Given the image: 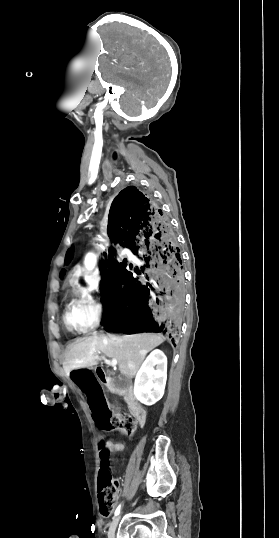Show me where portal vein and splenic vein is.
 Segmentation results:
<instances>
[{
	"mask_svg": "<svg viewBox=\"0 0 279 538\" xmlns=\"http://www.w3.org/2000/svg\"><path fill=\"white\" fill-rule=\"evenodd\" d=\"M100 357L101 359L104 361V363L107 365V366H117V360H110V357L108 355L105 354V352H100Z\"/></svg>",
	"mask_w": 279,
	"mask_h": 538,
	"instance_id": "obj_1",
	"label": "portal vein and splenic vein"
}]
</instances>
